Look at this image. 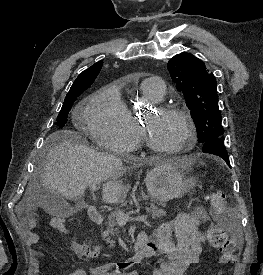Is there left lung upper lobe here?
I'll list each match as a JSON object with an SVG mask.
<instances>
[{"mask_svg":"<svg viewBox=\"0 0 263 275\" xmlns=\"http://www.w3.org/2000/svg\"><path fill=\"white\" fill-rule=\"evenodd\" d=\"M168 70L191 110L198 142L205 144L220 138L224 131L214 75L207 72L204 62L189 53L171 58Z\"/></svg>","mask_w":263,"mask_h":275,"instance_id":"left-lung-upper-lobe-1","label":"left lung upper lobe"}]
</instances>
